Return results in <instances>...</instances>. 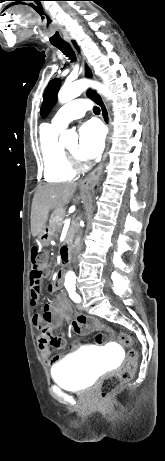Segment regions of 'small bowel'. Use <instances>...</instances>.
Wrapping results in <instances>:
<instances>
[{
	"label": "small bowel",
	"instance_id": "small-bowel-1",
	"mask_svg": "<svg viewBox=\"0 0 165 461\" xmlns=\"http://www.w3.org/2000/svg\"><path fill=\"white\" fill-rule=\"evenodd\" d=\"M64 277L63 271H56V278L47 286L48 292H55L60 288L62 284V278ZM41 282L35 284L30 279V304L34 307L37 305L40 299ZM73 318L71 322L72 330L79 335H87L90 331L104 328L108 332L111 329L102 325L96 319H90L85 315L77 314L74 315L72 307L65 294H59L57 298L43 306L42 312H34L32 315V324L39 330L37 336L38 348L42 356L47 360L48 364L55 366L61 359L60 355H53L54 350H60L65 346L64 334H54V330L61 324L63 320H69ZM104 338L102 335L95 333L92 337V342L95 344L94 348L99 350L101 343ZM81 344L78 341H73L68 346L70 352L77 351Z\"/></svg>",
	"mask_w": 165,
	"mask_h": 461
}]
</instances>
